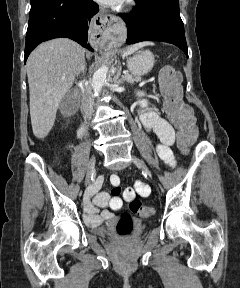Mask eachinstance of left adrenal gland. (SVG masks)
I'll list each match as a JSON object with an SVG mask.
<instances>
[{
  "label": "left adrenal gland",
  "instance_id": "a2214340",
  "mask_svg": "<svg viewBox=\"0 0 240 288\" xmlns=\"http://www.w3.org/2000/svg\"><path fill=\"white\" fill-rule=\"evenodd\" d=\"M120 74H121V67L119 68L116 76L113 79L115 84H122L123 83V81L121 79H119Z\"/></svg>",
  "mask_w": 240,
  "mask_h": 288
}]
</instances>
